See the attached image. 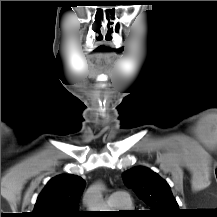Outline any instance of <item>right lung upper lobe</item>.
I'll use <instances>...</instances> for the list:
<instances>
[{
    "label": "right lung upper lobe",
    "instance_id": "cb5924a9",
    "mask_svg": "<svg viewBox=\"0 0 217 217\" xmlns=\"http://www.w3.org/2000/svg\"><path fill=\"white\" fill-rule=\"evenodd\" d=\"M85 181L76 175L52 178L37 198L31 217H80L79 198Z\"/></svg>",
    "mask_w": 217,
    "mask_h": 217
}]
</instances>
